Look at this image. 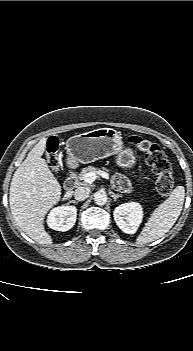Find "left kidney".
<instances>
[{
	"label": "left kidney",
	"instance_id": "left-kidney-1",
	"mask_svg": "<svg viewBox=\"0 0 193 351\" xmlns=\"http://www.w3.org/2000/svg\"><path fill=\"white\" fill-rule=\"evenodd\" d=\"M143 208L137 202L123 203L114 209L117 226L127 234H134L143 220Z\"/></svg>",
	"mask_w": 193,
	"mask_h": 351
}]
</instances>
